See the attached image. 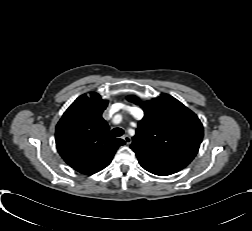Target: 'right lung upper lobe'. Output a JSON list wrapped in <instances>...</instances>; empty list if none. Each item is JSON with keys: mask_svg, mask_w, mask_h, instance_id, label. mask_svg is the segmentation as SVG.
<instances>
[{"mask_svg": "<svg viewBox=\"0 0 252 231\" xmlns=\"http://www.w3.org/2000/svg\"><path fill=\"white\" fill-rule=\"evenodd\" d=\"M108 105L97 93L78 97L56 126L59 154L76 171L92 175L108 166L122 139L110 135L102 112Z\"/></svg>", "mask_w": 252, "mask_h": 231, "instance_id": "obj_1", "label": "right lung upper lobe"}]
</instances>
